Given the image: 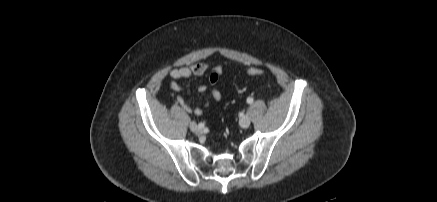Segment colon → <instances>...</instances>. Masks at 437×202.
Segmentation results:
<instances>
[{
    "mask_svg": "<svg viewBox=\"0 0 437 202\" xmlns=\"http://www.w3.org/2000/svg\"><path fill=\"white\" fill-rule=\"evenodd\" d=\"M264 71L260 68H256V67H251L247 70V74L249 76H253V77H258L263 75Z\"/></svg>",
    "mask_w": 437,
    "mask_h": 202,
    "instance_id": "obj_1",
    "label": "colon"
}]
</instances>
